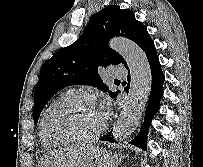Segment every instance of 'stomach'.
I'll return each mask as SVG.
<instances>
[{
    "mask_svg": "<svg viewBox=\"0 0 203 167\" xmlns=\"http://www.w3.org/2000/svg\"><path fill=\"white\" fill-rule=\"evenodd\" d=\"M117 160L102 148H94L82 167H117Z\"/></svg>",
    "mask_w": 203,
    "mask_h": 167,
    "instance_id": "obj_1",
    "label": "stomach"
}]
</instances>
